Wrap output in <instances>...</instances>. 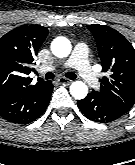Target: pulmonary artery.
I'll list each match as a JSON object with an SVG mask.
<instances>
[{
	"instance_id": "pulmonary-artery-1",
	"label": "pulmonary artery",
	"mask_w": 135,
	"mask_h": 165,
	"mask_svg": "<svg viewBox=\"0 0 135 165\" xmlns=\"http://www.w3.org/2000/svg\"><path fill=\"white\" fill-rule=\"evenodd\" d=\"M62 68L73 67L78 70L82 79L92 88L98 87V79L88 61V48L85 43H78L71 56L61 64ZM56 66H49L43 71L55 70Z\"/></svg>"
}]
</instances>
